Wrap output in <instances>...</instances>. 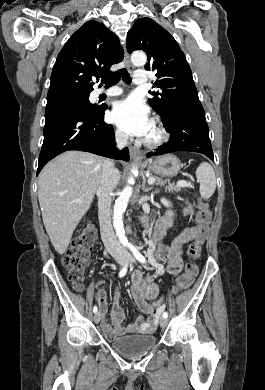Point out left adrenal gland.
I'll return each instance as SVG.
<instances>
[{
	"label": "left adrenal gland",
	"mask_w": 265,
	"mask_h": 390,
	"mask_svg": "<svg viewBox=\"0 0 265 390\" xmlns=\"http://www.w3.org/2000/svg\"><path fill=\"white\" fill-rule=\"evenodd\" d=\"M145 184H146V179L144 178V179H143V184H142V190H143L144 192H148L149 190L152 189L151 187H150V188H146V187H145Z\"/></svg>",
	"instance_id": "a2214340"
}]
</instances>
